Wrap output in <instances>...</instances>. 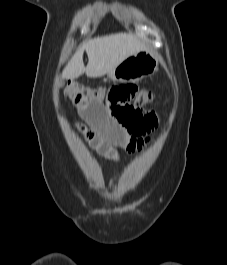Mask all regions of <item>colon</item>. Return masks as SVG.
Instances as JSON below:
<instances>
[{"label": "colon", "mask_w": 227, "mask_h": 265, "mask_svg": "<svg viewBox=\"0 0 227 265\" xmlns=\"http://www.w3.org/2000/svg\"><path fill=\"white\" fill-rule=\"evenodd\" d=\"M65 93L73 101L75 96L93 101L103 98L105 94L101 89L85 87L77 82L68 84ZM106 98L111 116L130 134L141 136L157 126L156 114L143 109L154 100V94L151 91L138 89L133 84H115L107 90Z\"/></svg>", "instance_id": "colon-1"}]
</instances>
